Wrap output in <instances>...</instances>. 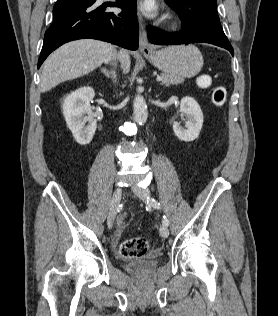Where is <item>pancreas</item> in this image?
<instances>
[{
  "label": "pancreas",
  "mask_w": 278,
  "mask_h": 316,
  "mask_svg": "<svg viewBox=\"0 0 278 316\" xmlns=\"http://www.w3.org/2000/svg\"><path fill=\"white\" fill-rule=\"evenodd\" d=\"M162 84L165 86L178 85L183 83V78L176 75L163 74Z\"/></svg>",
  "instance_id": "pancreas-1"
}]
</instances>
